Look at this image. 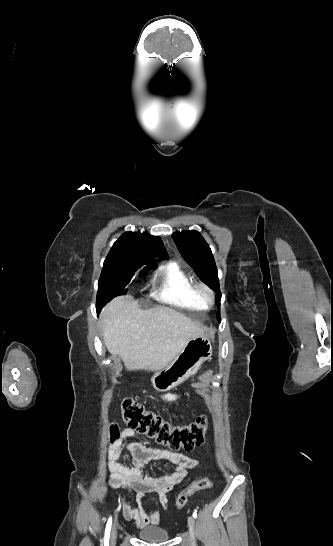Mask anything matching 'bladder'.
Returning <instances> with one entry per match:
<instances>
[{"label": "bladder", "mask_w": 333, "mask_h": 546, "mask_svg": "<svg viewBox=\"0 0 333 546\" xmlns=\"http://www.w3.org/2000/svg\"><path fill=\"white\" fill-rule=\"evenodd\" d=\"M138 536L143 541L151 543H162L169 539L168 531L156 526H148L141 529Z\"/></svg>", "instance_id": "bladder-1"}]
</instances>
